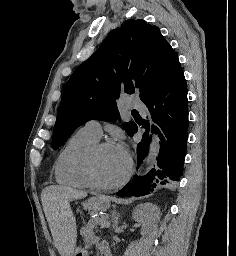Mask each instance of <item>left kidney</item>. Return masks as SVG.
Returning <instances> with one entry per match:
<instances>
[{
	"label": "left kidney",
	"mask_w": 236,
	"mask_h": 256,
	"mask_svg": "<svg viewBox=\"0 0 236 256\" xmlns=\"http://www.w3.org/2000/svg\"><path fill=\"white\" fill-rule=\"evenodd\" d=\"M133 220L142 224V236L155 230L158 222H160V210L155 204H139L133 210Z\"/></svg>",
	"instance_id": "obj_1"
}]
</instances>
